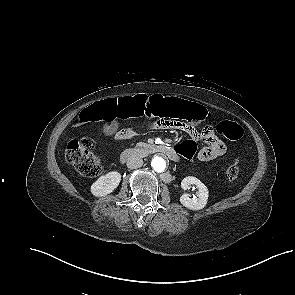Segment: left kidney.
Wrapping results in <instances>:
<instances>
[{
  "instance_id": "5707ae66",
  "label": "left kidney",
  "mask_w": 295,
  "mask_h": 295,
  "mask_svg": "<svg viewBox=\"0 0 295 295\" xmlns=\"http://www.w3.org/2000/svg\"><path fill=\"white\" fill-rule=\"evenodd\" d=\"M191 185L197 188V194L193 198H190L188 194H183L180 197V202L190 210H201L207 204L208 188L199 179L192 176L185 177L181 182V187L184 190L190 189Z\"/></svg>"
}]
</instances>
